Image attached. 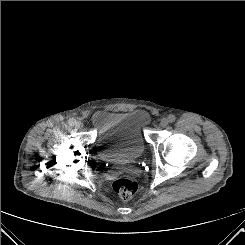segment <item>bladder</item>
I'll use <instances>...</instances> for the list:
<instances>
[{
	"label": "bladder",
	"instance_id": "obj_1",
	"mask_svg": "<svg viewBox=\"0 0 245 245\" xmlns=\"http://www.w3.org/2000/svg\"><path fill=\"white\" fill-rule=\"evenodd\" d=\"M150 121L145 109L101 110L92 116L100 157L109 163L139 158L146 147L145 128Z\"/></svg>",
	"mask_w": 245,
	"mask_h": 245
}]
</instances>
